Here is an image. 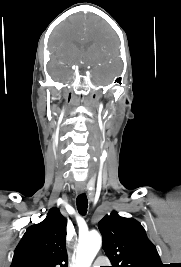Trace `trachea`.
<instances>
[{"instance_id": "obj_1", "label": "trachea", "mask_w": 181, "mask_h": 267, "mask_svg": "<svg viewBox=\"0 0 181 267\" xmlns=\"http://www.w3.org/2000/svg\"><path fill=\"white\" fill-rule=\"evenodd\" d=\"M77 209L81 215H86L88 208V200L85 193L80 194L76 199Z\"/></svg>"}]
</instances>
